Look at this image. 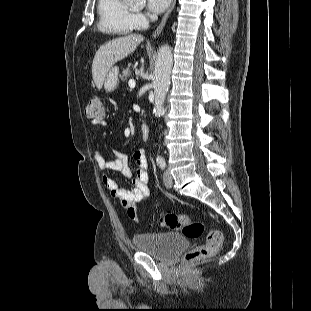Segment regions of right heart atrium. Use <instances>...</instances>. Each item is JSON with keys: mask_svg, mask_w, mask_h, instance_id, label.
Segmentation results:
<instances>
[{"mask_svg": "<svg viewBox=\"0 0 311 311\" xmlns=\"http://www.w3.org/2000/svg\"><path fill=\"white\" fill-rule=\"evenodd\" d=\"M133 19L136 27H143L146 24V17L142 13H135Z\"/></svg>", "mask_w": 311, "mask_h": 311, "instance_id": "right-heart-atrium-1", "label": "right heart atrium"}]
</instances>
